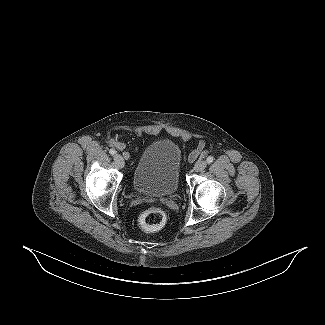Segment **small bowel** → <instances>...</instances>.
Segmentation results:
<instances>
[{"mask_svg":"<svg viewBox=\"0 0 325 325\" xmlns=\"http://www.w3.org/2000/svg\"><path fill=\"white\" fill-rule=\"evenodd\" d=\"M109 144L112 147H114V148L122 151L123 152V156H124L125 159H127V160L130 159L131 154H130V152H128V151L125 150V144L123 142L118 141V140H115V139H110L109 140Z\"/></svg>","mask_w":325,"mask_h":325,"instance_id":"obj_1","label":"small bowel"}]
</instances>
